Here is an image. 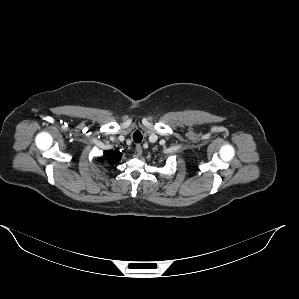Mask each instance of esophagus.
<instances>
[{
  "label": "esophagus",
  "instance_id": "34e87169",
  "mask_svg": "<svg viewBox=\"0 0 299 299\" xmlns=\"http://www.w3.org/2000/svg\"><path fill=\"white\" fill-rule=\"evenodd\" d=\"M142 147L140 144L136 145V148H135V156L136 157H139L142 155Z\"/></svg>",
  "mask_w": 299,
  "mask_h": 299
}]
</instances>
